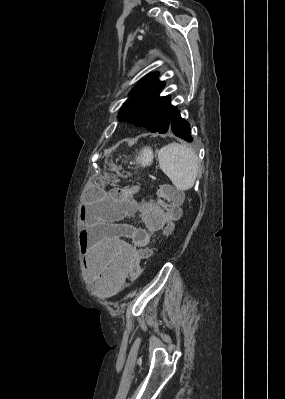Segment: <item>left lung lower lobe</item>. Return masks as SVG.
I'll return each mask as SVG.
<instances>
[{"label":"left lung lower lobe","instance_id":"0a47b994","mask_svg":"<svg viewBox=\"0 0 285 399\" xmlns=\"http://www.w3.org/2000/svg\"><path fill=\"white\" fill-rule=\"evenodd\" d=\"M170 133L175 134L176 136L191 142L193 140L191 134V129L189 123L181 118L180 111L177 109L172 120L168 131Z\"/></svg>","mask_w":285,"mask_h":399}]
</instances>
